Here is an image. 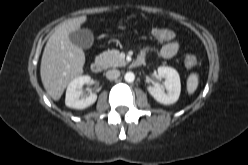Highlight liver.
Masks as SVG:
<instances>
[{
	"mask_svg": "<svg viewBox=\"0 0 248 165\" xmlns=\"http://www.w3.org/2000/svg\"><path fill=\"white\" fill-rule=\"evenodd\" d=\"M86 16L68 19L55 28L43 51L40 75L49 96L58 101L66 86L83 73L85 54L70 41V33L77 31Z\"/></svg>",
	"mask_w": 248,
	"mask_h": 165,
	"instance_id": "6515ba94",
	"label": "liver"
}]
</instances>
